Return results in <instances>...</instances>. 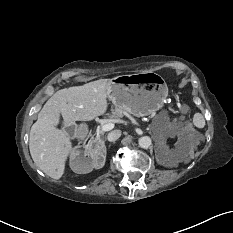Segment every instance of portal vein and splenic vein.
<instances>
[{
	"instance_id": "obj_1",
	"label": "portal vein and splenic vein",
	"mask_w": 233,
	"mask_h": 233,
	"mask_svg": "<svg viewBox=\"0 0 233 233\" xmlns=\"http://www.w3.org/2000/svg\"><path fill=\"white\" fill-rule=\"evenodd\" d=\"M113 128H114V124H113V123H107V124H104V125H102V126L99 127V129H100L101 131H104V132L110 131V130H112Z\"/></svg>"
}]
</instances>
